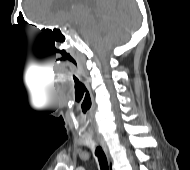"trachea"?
Returning <instances> with one entry per match:
<instances>
[{
	"label": "trachea",
	"instance_id": "1",
	"mask_svg": "<svg viewBox=\"0 0 190 170\" xmlns=\"http://www.w3.org/2000/svg\"><path fill=\"white\" fill-rule=\"evenodd\" d=\"M95 155L98 157L101 170H109L106 156L100 147L96 148Z\"/></svg>",
	"mask_w": 190,
	"mask_h": 170
}]
</instances>
